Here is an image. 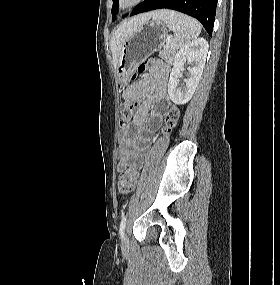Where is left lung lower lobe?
I'll use <instances>...</instances> for the list:
<instances>
[{"label": "left lung lower lobe", "mask_w": 280, "mask_h": 285, "mask_svg": "<svg viewBox=\"0 0 280 285\" xmlns=\"http://www.w3.org/2000/svg\"><path fill=\"white\" fill-rule=\"evenodd\" d=\"M216 5L217 0H144L130 15L162 8L176 10L198 19L212 36Z\"/></svg>", "instance_id": "1"}]
</instances>
